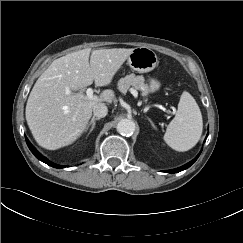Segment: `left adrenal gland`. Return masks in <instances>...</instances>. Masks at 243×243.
Returning <instances> with one entry per match:
<instances>
[{
	"mask_svg": "<svg viewBox=\"0 0 243 243\" xmlns=\"http://www.w3.org/2000/svg\"><path fill=\"white\" fill-rule=\"evenodd\" d=\"M147 119H148V121L150 122L151 126H152L154 129H156V126L154 125L153 121H152L150 118H147Z\"/></svg>",
	"mask_w": 243,
	"mask_h": 243,
	"instance_id": "obj_1",
	"label": "left adrenal gland"
}]
</instances>
